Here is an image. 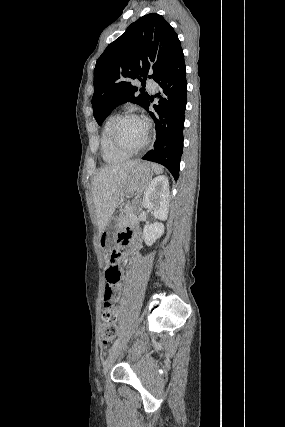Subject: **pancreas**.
Masks as SVG:
<instances>
[{
  "instance_id": "pancreas-1",
  "label": "pancreas",
  "mask_w": 285,
  "mask_h": 427,
  "mask_svg": "<svg viewBox=\"0 0 285 427\" xmlns=\"http://www.w3.org/2000/svg\"><path fill=\"white\" fill-rule=\"evenodd\" d=\"M135 210L130 205H125L122 210L121 214L118 219V225L124 226L128 225L136 220Z\"/></svg>"
}]
</instances>
